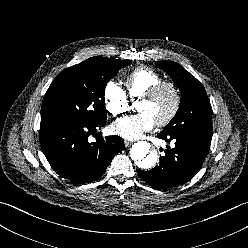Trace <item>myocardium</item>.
I'll return each mask as SVG.
<instances>
[{
    "label": "myocardium",
    "instance_id": "obj_1",
    "mask_svg": "<svg viewBox=\"0 0 248 248\" xmlns=\"http://www.w3.org/2000/svg\"><path fill=\"white\" fill-rule=\"evenodd\" d=\"M165 88H169L171 90L173 97H174V102H173V106H172L170 112L163 119H161L155 123L158 127H164V126L168 125L178 114L180 107H181V102H182L181 93H180L179 88L172 81L161 80L160 82H158L157 84L152 86L149 90H147L141 96V99L151 100V99L155 98Z\"/></svg>",
    "mask_w": 248,
    "mask_h": 248
}]
</instances>
